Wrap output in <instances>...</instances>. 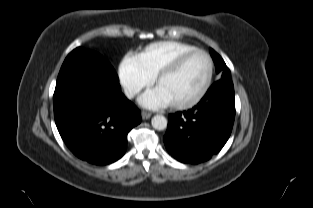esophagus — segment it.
<instances>
[{"label": "esophagus", "mask_w": 313, "mask_h": 208, "mask_svg": "<svg viewBox=\"0 0 313 208\" xmlns=\"http://www.w3.org/2000/svg\"><path fill=\"white\" fill-rule=\"evenodd\" d=\"M152 116V114L150 112L147 111H142V119L143 120H147Z\"/></svg>", "instance_id": "34e87169"}]
</instances>
